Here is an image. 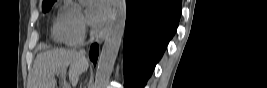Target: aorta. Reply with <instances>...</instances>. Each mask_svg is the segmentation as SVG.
Masks as SVG:
<instances>
[{
    "label": "aorta",
    "instance_id": "1",
    "mask_svg": "<svg viewBox=\"0 0 267 88\" xmlns=\"http://www.w3.org/2000/svg\"><path fill=\"white\" fill-rule=\"evenodd\" d=\"M86 0H81L85 2ZM126 23V2L120 0L115 7L114 17L106 34L98 60L93 88H106L115 64Z\"/></svg>",
    "mask_w": 267,
    "mask_h": 88
}]
</instances>
